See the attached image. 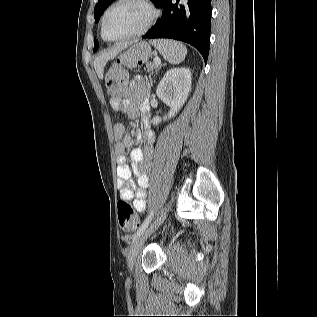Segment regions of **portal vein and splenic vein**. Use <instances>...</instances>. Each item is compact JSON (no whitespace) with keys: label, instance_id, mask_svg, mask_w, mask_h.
<instances>
[{"label":"portal vein and splenic vein","instance_id":"portal-vein-and-splenic-vein-1","mask_svg":"<svg viewBox=\"0 0 317 317\" xmlns=\"http://www.w3.org/2000/svg\"><path fill=\"white\" fill-rule=\"evenodd\" d=\"M154 63L158 66L161 64V60L158 57L154 58Z\"/></svg>","mask_w":317,"mask_h":317}]
</instances>
